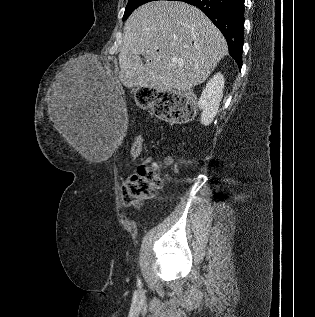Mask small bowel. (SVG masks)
Returning <instances> with one entry per match:
<instances>
[{
	"label": "small bowel",
	"mask_w": 315,
	"mask_h": 317,
	"mask_svg": "<svg viewBox=\"0 0 315 317\" xmlns=\"http://www.w3.org/2000/svg\"><path fill=\"white\" fill-rule=\"evenodd\" d=\"M154 158L152 156L148 157L142 164L140 165H146L149 164L151 162H153Z\"/></svg>",
	"instance_id": "small-bowel-1"
}]
</instances>
